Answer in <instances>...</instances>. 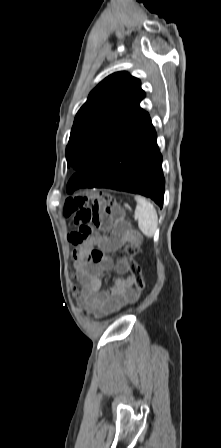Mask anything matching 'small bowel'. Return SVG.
<instances>
[{"mask_svg": "<svg viewBox=\"0 0 221 448\" xmlns=\"http://www.w3.org/2000/svg\"><path fill=\"white\" fill-rule=\"evenodd\" d=\"M112 236L94 235L81 239L78 231L67 234V241L75 247L74 265L78 279L82 284L81 304L97 317H106L119 311L125 305L136 300L134 282L131 273L123 261L115 262L110 254L117 251L132 237L119 225L111 228ZM100 247L104 254L99 263L85 259L93 246ZM115 269L119 276L113 281L109 290L103 288L104 272Z\"/></svg>", "mask_w": 221, "mask_h": 448, "instance_id": "1", "label": "small bowel"}]
</instances>
